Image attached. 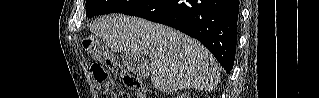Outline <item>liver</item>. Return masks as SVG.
I'll list each match as a JSON object with an SVG mask.
<instances>
[{
  "instance_id": "1",
  "label": "liver",
  "mask_w": 319,
  "mask_h": 98,
  "mask_svg": "<svg viewBox=\"0 0 319 98\" xmlns=\"http://www.w3.org/2000/svg\"><path fill=\"white\" fill-rule=\"evenodd\" d=\"M90 31L114 52L137 58L148 51L146 73L164 93L185 88L211 91L218 85L219 67L213 55L200 42L173 28L112 14L93 24Z\"/></svg>"
}]
</instances>
